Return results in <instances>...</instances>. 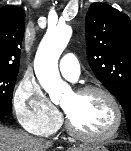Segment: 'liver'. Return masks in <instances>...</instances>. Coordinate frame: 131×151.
Segmentation results:
<instances>
[{
	"label": "liver",
	"mask_w": 131,
	"mask_h": 151,
	"mask_svg": "<svg viewBox=\"0 0 131 151\" xmlns=\"http://www.w3.org/2000/svg\"><path fill=\"white\" fill-rule=\"evenodd\" d=\"M51 142L36 139L24 132L14 131L0 124V151H46ZM82 148H72L80 151Z\"/></svg>",
	"instance_id": "6515ba94"
}]
</instances>
